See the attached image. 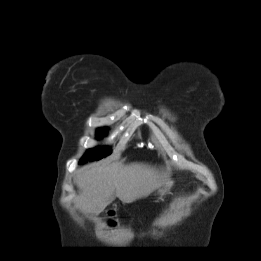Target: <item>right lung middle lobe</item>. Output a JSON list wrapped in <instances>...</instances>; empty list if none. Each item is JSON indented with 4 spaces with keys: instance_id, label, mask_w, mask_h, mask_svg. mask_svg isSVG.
Returning a JSON list of instances; mask_svg holds the SVG:
<instances>
[{
    "instance_id": "right-lung-middle-lobe-1",
    "label": "right lung middle lobe",
    "mask_w": 261,
    "mask_h": 261,
    "mask_svg": "<svg viewBox=\"0 0 261 261\" xmlns=\"http://www.w3.org/2000/svg\"><path fill=\"white\" fill-rule=\"evenodd\" d=\"M105 134V131L100 128L98 129L97 136L101 138ZM111 153L109 148L89 149L86 154L80 160V164L86 163L87 161L99 160Z\"/></svg>"
}]
</instances>
